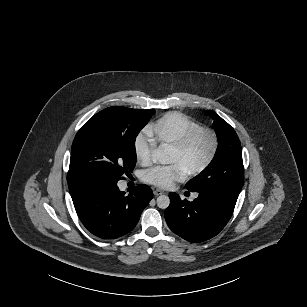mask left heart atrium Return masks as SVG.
<instances>
[{"label":"left heart atrium","instance_id":"obj_1","mask_svg":"<svg viewBox=\"0 0 307 307\" xmlns=\"http://www.w3.org/2000/svg\"><path fill=\"white\" fill-rule=\"evenodd\" d=\"M187 171L178 163L155 164L142 172V177L148 183L167 188L175 181H182Z\"/></svg>","mask_w":307,"mask_h":307}]
</instances>
